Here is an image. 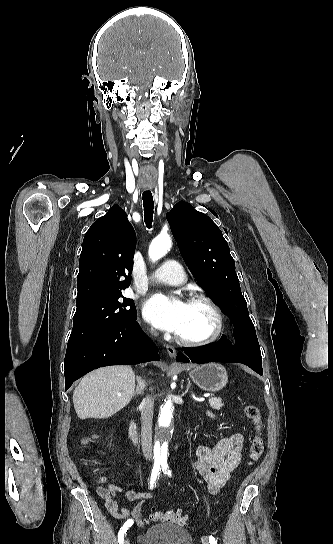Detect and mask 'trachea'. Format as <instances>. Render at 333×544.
I'll return each instance as SVG.
<instances>
[{
	"mask_svg": "<svg viewBox=\"0 0 333 544\" xmlns=\"http://www.w3.org/2000/svg\"><path fill=\"white\" fill-rule=\"evenodd\" d=\"M144 221L148 228H151L153 219L154 202L151 191L143 192Z\"/></svg>",
	"mask_w": 333,
	"mask_h": 544,
	"instance_id": "obj_1",
	"label": "trachea"
}]
</instances>
